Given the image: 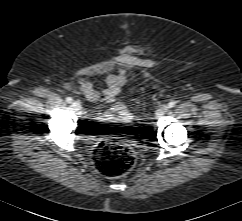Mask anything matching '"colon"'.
Listing matches in <instances>:
<instances>
[{"label":"colon","instance_id":"1","mask_svg":"<svg viewBox=\"0 0 242 221\" xmlns=\"http://www.w3.org/2000/svg\"><path fill=\"white\" fill-rule=\"evenodd\" d=\"M93 160L101 175L118 178L126 175L133 168L136 156L127 144L107 141L96 146Z\"/></svg>","mask_w":242,"mask_h":221}]
</instances>
